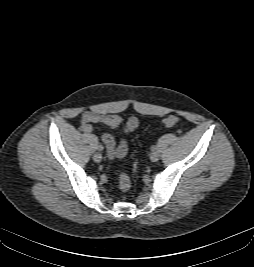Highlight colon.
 Returning a JSON list of instances; mask_svg holds the SVG:
<instances>
[{
  "label": "colon",
  "instance_id": "1",
  "mask_svg": "<svg viewBox=\"0 0 254 267\" xmlns=\"http://www.w3.org/2000/svg\"><path fill=\"white\" fill-rule=\"evenodd\" d=\"M178 123V118L170 115L163 120V125L167 128L173 127ZM119 188L122 191H128L131 188V179L128 174L121 173L119 176Z\"/></svg>",
  "mask_w": 254,
  "mask_h": 267
}]
</instances>
